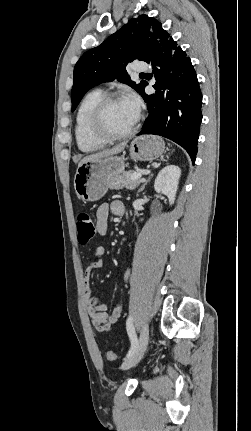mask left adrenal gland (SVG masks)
Masks as SVG:
<instances>
[{
	"instance_id": "1",
	"label": "left adrenal gland",
	"mask_w": 251,
	"mask_h": 431,
	"mask_svg": "<svg viewBox=\"0 0 251 431\" xmlns=\"http://www.w3.org/2000/svg\"><path fill=\"white\" fill-rule=\"evenodd\" d=\"M151 176H152V173L148 176L147 180L143 183V185L141 186V188L138 190V193L142 192L145 189V186L150 181Z\"/></svg>"
}]
</instances>
